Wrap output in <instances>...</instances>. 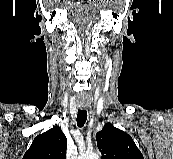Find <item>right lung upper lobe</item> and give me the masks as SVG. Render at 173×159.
<instances>
[{
	"label": "right lung upper lobe",
	"instance_id": "right-lung-upper-lobe-1",
	"mask_svg": "<svg viewBox=\"0 0 173 159\" xmlns=\"http://www.w3.org/2000/svg\"><path fill=\"white\" fill-rule=\"evenodd\" d=\"M67 139L59 126L38 135L23 159H65Z\"/></svg>",
	"mask_w": 173,
	"mask_h": 159
}]
</instances>
